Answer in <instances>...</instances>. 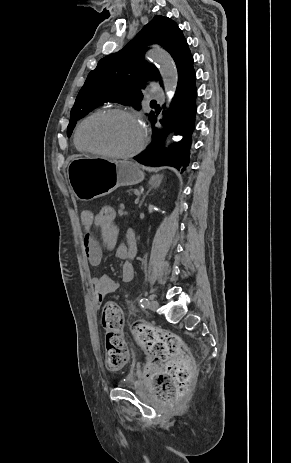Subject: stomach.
Listing matches in <instances>:
<instances>
[{
  "label": "stomach",
  "mask_w": 291,
  "mask_h": 463,
  "mask_svg": "<svg viewBox=\"0 0 291 463\" xmlns=\"http://www.w3.org/2000/svg\"><path fill=\"white\" fill-rule=\"evenodd\" d=\"M67 178L76 198L89 201L107 195L120 186L140 183L144 173L131 161L75 155L67 165Z\"/></svg>",
  "instance_id": "1"
}]
</instances>
